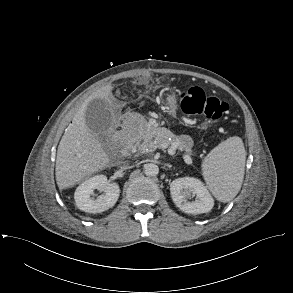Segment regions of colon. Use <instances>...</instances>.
Here are the masks:
<instances>
[{"label":"colon","instance_id":"1","mask_svg":"<svg viewBox=\"0 0 293 293\" xmlns=\"http://www.w3.org/2000/svg\"><path fill=\"white\" fill-rule=\"evenodd\" d=\"M180 105L188 116H202L216 120L228 111V104L220 98L209 96L199 86H191L180 95Z\"/></svg>","mask_w":293,"mask_h":293}]
</instances>
